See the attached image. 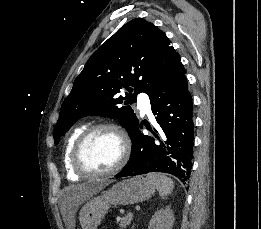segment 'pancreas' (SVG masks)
Segmentation results:
<instances>
[{
    "mask_svg": "<svg viewBox=\"0 0 261 229\" xmlns=\"http://www.w3.org/2000/svg\"><path fill=\"white\" fill-rule=\"evenodd\" d=\"M131 221H132V217H123L120 223L118 221V225L120 229H127V225H130Z\"/></svg>",
    "mask_w": 261,
    "mask_h": 229,
    "instance_id": "pancreas-1",
    "label": "pancreas"
}]
</instances>
